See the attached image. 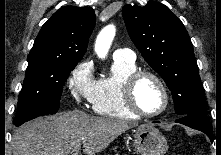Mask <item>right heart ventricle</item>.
Instances as JSON below:
<instances>
[{
  "label": "right heart ventricle",
  "instance_id": "e07e8e85",
  "mask_svg": "<svg viewBox=\"0 0 221 155\" xmlns=\"http://www.w3.org/2000/svg\"><path fill=\"white\" fill-rule=\"evenodd\" d=\"M137 71L135 62L114 60L109 75L96 80L92 108L95 113L111 118L133 119V114L126 107L122 87L126 78Z\"/></svg>",
  "mask_w": 221,
  "mask_h": 155
}]
</instances>
